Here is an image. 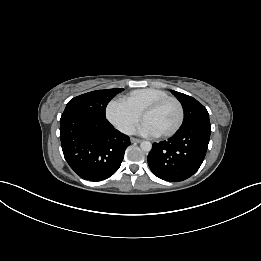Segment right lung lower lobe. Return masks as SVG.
<instances>
[{
    "instance_id": "1",
    "label": "right lung lower lobe",
    "mask_w": 261,
    "mask_h": 261,
    "mask_svg": "<svg viewBox=\"0 0 261 261\" xmlns=\"http://www.w3.org/2000/svg\"><path fill=\"white\" fill-rule=\"evenodd\" d=\"M64 157L81 178L101 181L120 167L129 137L115 129L106 118L79 112H64L60 119Z\"/></svg>"
}]
</instances>
